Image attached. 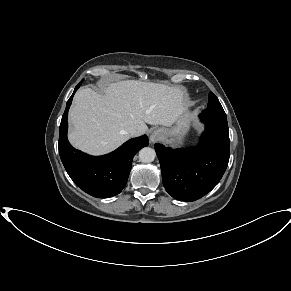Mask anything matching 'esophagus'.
I'll return each instance as SVG.
<instances>
[{"instance_id":"1","label":"esophagus","mask_w":291,"mask_h":291,"mask_svg":"<svg viewBox=\"0 0 291 291\" xmlns=\"http://www.w3.org/2000/svg\"><path fill=\"white\" fill-rule=\"evenodd\" d=\"M163 136L162 132L159 131H154L151 135H150V141L151 142H157L158 140H160Z\"/></svg>"}]
</instances>
